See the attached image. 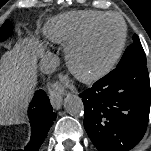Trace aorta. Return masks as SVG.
I'll return each instance as SVG.
<instances>
[{
  "label": "aorta",
  "instance_id": "obj_1",
  "mask_svg": "<svg viewBox=\"0 0 151 151\" xmlns=\"http://www.w3.org/2000/svg\"><path fill=\"white\" fill-rule=\"evenodd\" d=\"M64 109L71 116H82L84 114V104L82 99L74 94H68L64 99Z\"/></svg>",
  "mask_w": 151,
  "mask_h": 151
}]
</instances>
